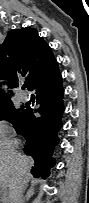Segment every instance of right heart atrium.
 <instances>
[{
    "mask_svg": "<svg viewBox=\"0 0 89 203\" xmlns=\"http://www.w3.org/2000/svg\"><path fill=\"white\" fill-rule=\"evenodd\" d=\"M12 134V130L10 125L7 122H2L0 124V137L2 139L10 137Z\"/></svg>",
    "mask_w": 89,
    "mask_h": 203,
    "instance_id": "1",
    "label": "right heart atrium"
}]
</instances>
